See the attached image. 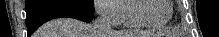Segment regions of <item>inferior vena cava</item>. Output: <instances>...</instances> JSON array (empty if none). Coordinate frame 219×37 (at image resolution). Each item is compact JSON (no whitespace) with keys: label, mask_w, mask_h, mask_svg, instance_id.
Wrapping results in <instances>:
<instances>
[{"label":"inferior vena cava","mask_w":219,"mask_h":37,"mask_svg":"<svg viewBox=\"0 0 219 37\" xmlns=\"http://www.w3.org/2000/svg\"><path fill=\"white\" fill-rule=\"evenodd\" d=\"M94 37H111L113 34L107 12L101 11L92 25Z\"/></svg>","instance_id":"inferior-vena-cava-1"}]
</instances>
